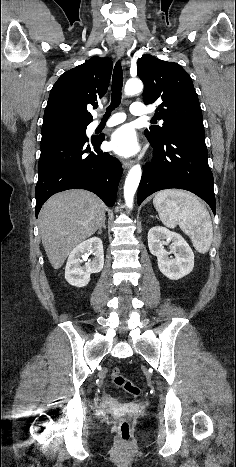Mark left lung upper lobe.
<instances>
[{"label":"left lung upper lobe","mask_w":236,"mask_h":467,"mask_svg":"<svg viewBox=\"0 0 236 467\" xmlns=\"http://www.w3.org/2000/svg\"><path fill=\"white\" fill-rule=\"evenodd\" d=\"M137 68L144 83V103H160L155 116L164 121L162 127L151 126L145 130L148 139L162 142L177 130L204 129L192 79L179 64L143 55Z\"/></svg>","instance_id":"5c2ea615"}]
</instances>
